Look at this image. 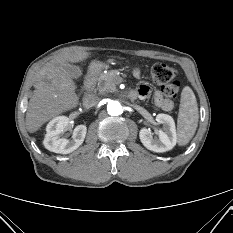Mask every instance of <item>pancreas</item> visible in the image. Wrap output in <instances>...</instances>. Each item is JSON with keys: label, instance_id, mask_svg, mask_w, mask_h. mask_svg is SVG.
I'll list each match as a JSON object with an SVG mask.
<instances>
[{"label": "pancreas", "instance_id": "pancreas-1", "mask_svg": "<svg viewBox=\"0 0 233 233\" xmlns=\"http://www.w3.org/2000/svg\"><path fill=\"white\" fill-rule=\"evenodd\" d=\"M119 76L116 70H112L108 73H101L95 77V83L97 84V90L100 94H106L114 92L116 89V83Z\"/></svg>", "mask_w": 233, "mask_h": 233}]
</instances>
